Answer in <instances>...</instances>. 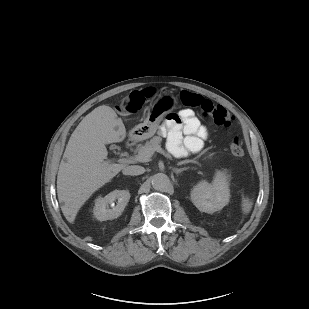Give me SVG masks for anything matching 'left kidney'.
<instances>
[{"label":"left kidney","instance_id":"obj_1","mask_svg":"<svg viewBox=\"0 0 309 309\" xmlns=\"http://www.w3.org/2000/svg\"><path fill=\"white\" fill-rule=\"evenodd\" d=\"M230 190L224 172L217 171L212 183L199 182L191 191V201L201 212L214 213L226 206Z\"/></svg>","mask_w":309,"mask_h":309}]
</instances>
